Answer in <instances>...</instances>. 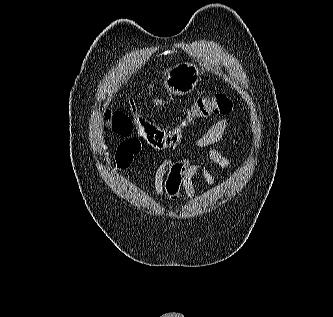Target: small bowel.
Here are the masks:
<instances>
[{
    "mask_svg": "<svg viewBox=\"0 0 333 317\" xmlns=\"http://www.w3.org/2000/svg\"><path fill=\"white\" fill-rule=\"evenodd\" d=\"M229 125L230 120L228 118L216 121L195 140L194 146L196 148H206L216 145L222 140ZM141 147L139 138H127L118 145L113 158L109 156L105 148L106 160L114 169L126 170L140 153ZM208 157L224 169L231 168L230 160L216 148H211L208 151ZM198 174L208 185H215L211 173L190 158L175 161L170 158L163 159L156 168L154 175V189L157 197L161 200L168 198L172 202H178L183 191L188 199H193L195 196L193 178Z\"/></svg>",
    "mask_w": 333,
    "mask_h": 317,
    "instance_id": "1",
    "label": "small bowel"
}]
</instances>
